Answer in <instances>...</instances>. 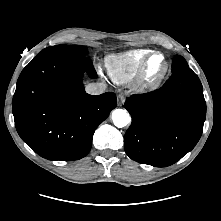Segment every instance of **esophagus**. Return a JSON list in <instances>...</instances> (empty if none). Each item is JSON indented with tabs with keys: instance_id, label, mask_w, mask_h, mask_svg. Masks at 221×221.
I'll return each mask as SVG.
<instances>
[{
	"instance_id": "34e87169",
	"label": "esophagus",
	"mask_w": 221,
	"mask_h": 221,
	"mask_svg": "<svg viewBox=\"0 0 221 221\" xmlns=\"http://www.w3.org/2000/svg\"><path fill=\"white\" fill-rule=\"evenodd\" d=\"M124 101H125L124 95L119 94V95L117 96V105H118V106H122L123 103H124Z\"/></svg>"
}]
</instances>
